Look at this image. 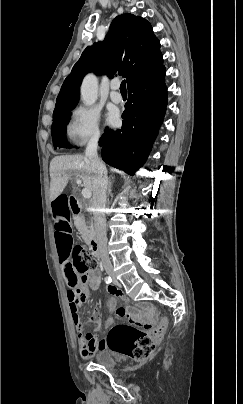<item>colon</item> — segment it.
Instances as JSON below:
<instances>
[{
    "mask_svg": "<svg viewBox=\"0 0 243 404\" xmlns=\"http://www.w3.org/2000/svg\"><path fill=\"white\" fill-rule=\"evenodd\" d=\"M73 271L81 278L96 269L97 260L84 246L77 245L73 251ZM166 325L164 319L151 331L146 332L128 324L113 326L107 336L106 347L111 351L137 360L148 358L155 349L156 340Z\"/></svg>",
    "mask_w": 243,
    "mask_h": 404,
    "instance_id": "colon-1",
    "label": "colon"
}]
</instances>
